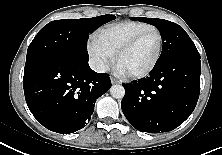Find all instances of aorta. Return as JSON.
<instances>
[{
	"instance_id": "aorta-1",
	"label": "aorta",
	"mask_w": 222,
	"mask_h": 155,
	"mask_svg": "<svg viewBox=\"0 0 222 155\" xmlns=\"http://www.w3.org/2000/svg\"><path fill=\"white\" fill-rule=\"evenodd\" d=\"M110 94L113 98L121 99L125 95V89L122 85H113L110 88Z\"/></svg>"
}]
</instances>
